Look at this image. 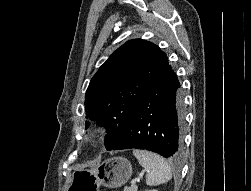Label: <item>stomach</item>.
<instances>
[{
    "label": "stomach",
    "mask_w": 251,
    "mask_h": 191,
    "mask_svg": "<svg viewBox=\"0 0 251 191\" xmlns=\"http://www.w3.org/2000/svg\"><path fill=\"white\" fill-rule=\"evenodd\" d=\"M132 175V165L126 157H109L93 169H75L70 191H99L105 187H121Z\"/></svg>",
    "instance_id": "0dacf381"
}]
</instances>
